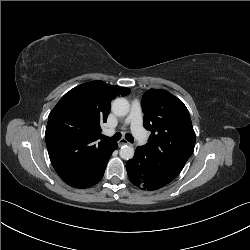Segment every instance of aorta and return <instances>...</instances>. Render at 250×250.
Returning a JSON list of instances; mask_svg holds the SVG:
<instances>
[{
  "label": "aorta",
  "mask_w": 250,
  "mask_h": 250,
  "mask_svg": "<svg viewBox=\"0 0 250 250\" xmlns=\"http://www.w3.org/2000/svg\"><path fill=\"white\" fill-rule=\"evenodd\" d=\"M111 109L117 116H126L129 112L130 106L125 98H117L112 102ZM119 155L124 160L132 159L134 156V148L132 146L124 145L121 147Z\"/></svg>",
  "instance_id": "762f6f07"
}]
</instances>
